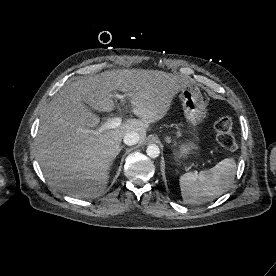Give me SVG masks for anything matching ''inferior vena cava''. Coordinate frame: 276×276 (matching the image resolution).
Listing matches in <instances>:
<instances>
[{
	"mask_svg": "<svg viewBox=\"0 0 276 276\" xmlns=\"http://www.w3.org/2000/svg\"><path fill=\"white\" fill-rule=\"evenodd\" d=\"M140 140V136L137 132L135 131H131V132H128L124 135V143L128 146H132V145H135L139 142Z\"/></svg>",
	"mask_w": 276,
	"mask_h": 276,
	"instance_id": "602c4592",
	"label": "inferior vena cava"
}]
</instances>
